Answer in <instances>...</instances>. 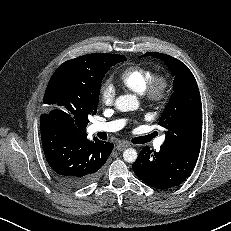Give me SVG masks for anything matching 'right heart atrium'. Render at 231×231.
<instances>
[{
  "instance_id": "right-heart-atrium-1",
  "label": "right heart atrium",
  "mask_w": 231,
  "mask_h": 231,
  "mask_svg": "<svg viewBox=\"0 0 231 231\" xmlns=\"http://www.w3.org/2000/svg\"><path fill=\"white\" fill-rule=\"evenodd\" d=\"M115 98V88L112 83L105 81L99 88V99L102 104L110 105Z\"/></svg>"
}]
</instances>
